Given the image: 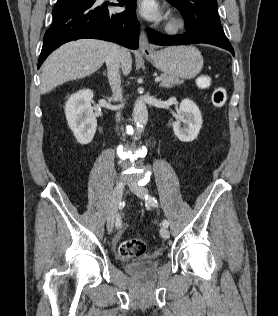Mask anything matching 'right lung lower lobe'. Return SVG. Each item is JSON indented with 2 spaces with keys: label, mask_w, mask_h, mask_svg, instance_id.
<instances>
[{
  "label": "right lung lower lobe",
  "mask_w": 278,
  "mask_h": 316,
  "mask_svg": "<svg viewBox=\"0 0 278 316\" xmlns=\"http://www.w3.org/2000/svg\"><path fill=\"white\" fill-rule=\"evenodd\" d=\"M96 0H58L53 9V24L44 36L38 68L60 45L82 38L112 41L127 48L139 45V23L134 14L136 0H118L119 4ZM126 5L128 11L112 13L110 6Z\"/></svg>",
  "instance_id": "98d812e1"
}]
</instances>
